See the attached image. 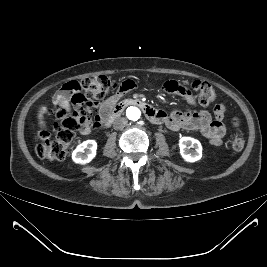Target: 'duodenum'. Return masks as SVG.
Wrapping results in <instances>:
<instances>
[{
	"label": "duodenum",
	"instance_id": "1",
	"mask_svg": "<svg viewBox=\"0 0 267 267\" xmlns=\"http://www.w3.org/2000/svg\"><path fill=\"white\" fill-rule=\"evenodd\" d=\"M128 106H137L139 107L146 117L153 123H162L164 122V114L154 109L151 105L138 100V99H126L118 104H116L105 119V126H110L127 108Z\"/></svg>",
	"mask_w": 267,
	"mask_h": 267
}]
</instances>
